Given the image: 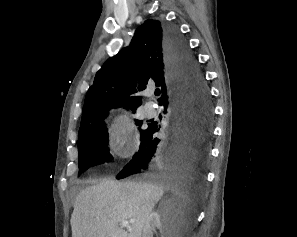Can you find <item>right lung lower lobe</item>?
<instances>
[{"mask_svg":"<svg viewBox=\"0 0 297 237\" xmlns=\"http://www.w3.org/2000/svg\"><path fill=\"white\" fill-rule=\"evenodd\" d=\"M164 47L172 80L171 90L160 102L169 113L165 137H157V123L149 124L140 150L117 179L141 172L159 177L206 171L212 116L208 90L185 39L173 25L164 24Z\"/></svg>","mask_w":297,"mask_h":237,"instance_id":"right-lung-lower-lobe-1","label":"right lung lower lobe"}]
</instances>
